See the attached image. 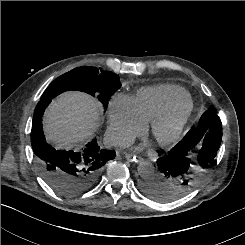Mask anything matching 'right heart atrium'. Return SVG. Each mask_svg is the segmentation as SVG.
I'll return each instance as SVG.
<instances>
[{
	"label": "right heart atrium",
	"mask_w": 245,
	"mask_h": 245,
	"mask_svg": "<svg viewBox=\"0 0 245 245\" xmlns=\"http://www.w3.org/2000/svg\"><path fill=\"white\" fill-rule=\"evenodd\" d=\"M146 129L134 98L125 94L114 95L108 103L107 132L110 140L119 146H127Z\"/></svg>",
	"instance_id": "right-heart-atrium-1"
}]
</instances>
